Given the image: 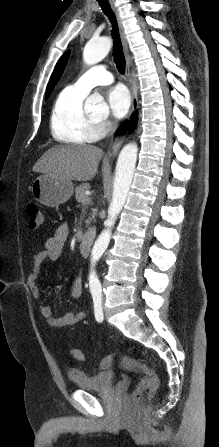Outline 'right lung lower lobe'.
Listing matches in <instances>:
<instances>
[{"instance_id": "1", "label": "right lung lower lobe", "mask_w": 219, "mask_h": 447, "mask_svg": "<svg viewBox=\"0 0 219 447\" xmlns=\"http://www.w3.org/2000/svg\"><path fill=\"white\" fill-rule=\"evenodd\" d=\"M136 122H137V114H134L132 116L130 123H129L130 128H134L136 125ZM127 126H128L127 123H124L122 126H120L119 129L116 131V135L120 134L122 131L126 130Z\"/></svg>"}]
</instances>
